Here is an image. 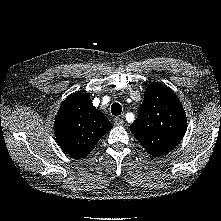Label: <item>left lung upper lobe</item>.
<instances>
[{"mask_svg": "<svg viewBox=\"0 0 221 221\" xmlns=\"http://www.w3.org/2000/svg\"><path fill=\"white\" fill-rule=\"evenodd\" d=\"M186 127V114L175 93L162 84H153L147 87L130 130L148 153L157 157L180 142Z\"/></svg>", "mask_w": 221, "mask_h": 221, "instance_id": "left-lung-upper-lobe-1", "label": "left lung upper lobe"}]
</instances>
